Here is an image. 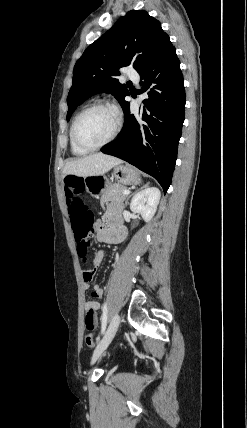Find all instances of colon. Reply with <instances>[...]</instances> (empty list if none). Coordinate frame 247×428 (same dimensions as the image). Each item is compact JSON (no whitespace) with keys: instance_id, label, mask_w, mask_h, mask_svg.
I'll return each mask as SVG.
<instances>
[{"instance_id":"colon-1","label":"colon","mask_w":247,"mask_h":428,"mask_svg":"<svg viewBox=\"0 0 247 428\" xmlns=\"http://www.w3.org/2000/svg\"><path fill=\"white\" fill-rule=\"evenodd\" d=\"M64 190L67 202L66 212L70 213V217H72L74 235L78 242V254L85 260L87 251L90 248L88 238L93 228V216L91 214V208L86 204V199H83V180L76 176H67L64 179ZM86 307L89 308V312L84 323L88 333L85 335L84 341L86 345L93 347L96 342L93 331H95L98 326V314H100L101 311L99 309V302L96 300H87Z\"/></svg>"}]
</instances>
